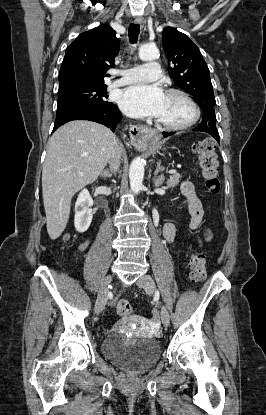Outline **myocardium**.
<instances>
[{
  "instance_id": "1",
  "label": "myocardium",
  "mask_w": 266,
  "mask_h": 415,
  "mask_svg": "<svg viewBox=\"0 0 266 415\" xmlns=\"http://www.w3.org/2000/svg\"><path fill=\"white\" fill-rule=\"evenodd\" d=\"M166 95L177 96L181 98L191 108L192 117L187 122L178 125L166 124L157 120L156 125L159 128L167 131H181L188 129L197 123L200 118V109L197 103L189 96V94L180 89L171 88L166 91Z\"/></svg>"
}]
</instances>
